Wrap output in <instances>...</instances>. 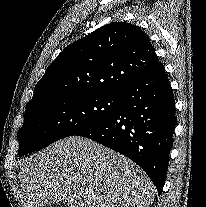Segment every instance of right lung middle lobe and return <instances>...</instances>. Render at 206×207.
<instances>
[{
	"mask_svg": "<svg viewBox=\"0 0 206 207\" xmlns=\"http://www.w3.org/2000/svg\"><path fill=\"white\" fill-rule=\"evenodd\" d=\"M120 105L121 94L67 96L38 103L26 109L18 153L26 155L77 135L112 116Z\"/></svg>",
	"mask_w": 206,
	"mask_h": 207,
	"instance_id": "1",
	"label": "right lung middle lobe"
}]
</instances>
